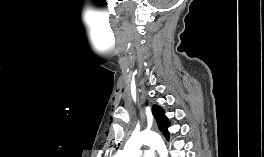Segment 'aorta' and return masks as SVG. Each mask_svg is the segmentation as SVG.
<instances>
[{
  "label": "aorta",
  "instance_id": "1",
  "mask_svg": "<svg viewBox=\"0 0 264 157\" xmlns=\"http://www.w3.org/2000/svg\"><path fill=\"white\" fill-rule=\"evenodd\" d=\"M145 145L157 150L160 157H165L167 150L163 140L156 134L146 132L133 135L117 157H140L141 147Z\"/></svg>",
  "mask_w": 264,
  "mask_h": 157
}]
</instances>
